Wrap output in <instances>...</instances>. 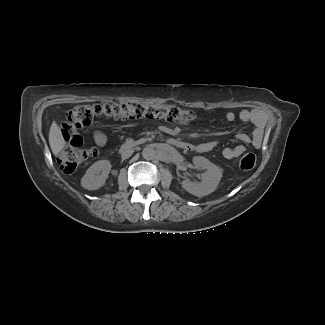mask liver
<instances>
[{"label": "liver", "instance_id": "liver-1", "mask_svg": "<svg viewBox=\"0 0 325 325\" xmlns=\"http://www.w3.org/2000/svg\"><path fill=\"white\" fill-rule=\"evenodd\" d=\"M49 144L50 148L55 156H57L61 150L64 148L66 142L63 138L61 129L54 121L51 124L50 131H49Z\"/></svg>", "mask_w": 325, "mask_h": 325}]
</instances>
